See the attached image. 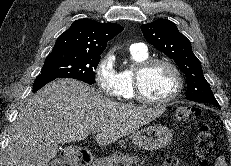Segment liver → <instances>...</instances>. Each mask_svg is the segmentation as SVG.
I'll use <instances>...</instances> for the list:
<instances>
[{
	"instance_id": "liver-1",
	"label": "liver",
	"mask_w": 231,
	"mask_h": 166,
	"mask_svg": "<svg viewBox=\"0 0 231 166\" xmlns=\"http://www.w3.org/2000/svg\"><path fill=\"white\" fill-rule=\"evenodd\" d=\"M164 111L114 102L80 81L56 79L20 109L9 134L6 166H47L58 144L84 140L92 132L99 145H109Z\"/></svg>"
}]
</instances>
